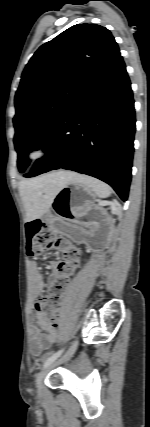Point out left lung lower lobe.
Listing matches in <instances>:
<instances>
[{
	"mask_svg": "<svg viewBox=\"0 0 150 427\" xmlns=\"http://www.w3.org/2000/svg\"><path fill=\"white\" fill-rule=\"evenodd\" d=\"M125 64L116 52L84 85L42 146L48 153L25 177L63 168L96 177L126 201L135 111Z\"/></svg>",
	"mask_w": 150,
	"mask_h": 427,
	"instance_id": "0a47b994",
	"label": "left lung lower lobe"
}]
</instances>
